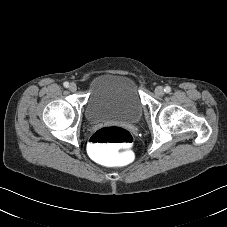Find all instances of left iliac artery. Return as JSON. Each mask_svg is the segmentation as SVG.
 I'll return each mask as SVG.
<instances>
[{"mask_svg":"<svg viewBox=\"0 0 227 227\" xmlns=\"http://www.w3.org/2000/svg\"><path fill=\"white\" fill-rule=\"evenodd\" d=\"M164 91H165L166 93H170V92H171V87L166 86L165 89H164Z\"/></svg>","mask_w":227,"mask_h":227,"instance_id":"left-iliac-artery-1","label":"left iliac artery"}]
</instances>
